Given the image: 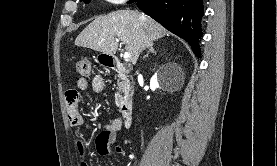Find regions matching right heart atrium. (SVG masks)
Wrapping results in <instances>:
<instances>
[{"mask_svg": "<svg viewBox=\"0 0 277 166\" xmlns=\"http://www.w3.org/2000/svg\"><path fill=\"white\" fill-rule=\"evenodd\" d=\"M105 1L111 4L118 5V4L124 3L126 0H105Z\"/></svg>", "mask_w": 277, "mask_h": 166, "instance_id": "obj_1", "label": "right heart atrium"}]
</instances>
